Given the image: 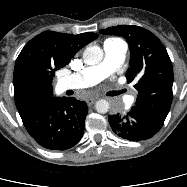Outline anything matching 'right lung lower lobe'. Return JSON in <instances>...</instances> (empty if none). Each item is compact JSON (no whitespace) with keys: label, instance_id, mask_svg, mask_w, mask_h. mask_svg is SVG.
I'll return each mask as SVG.
<instances>
[{"label":"right lung lower lobe","instance_id":"obj_1","mask_svg":"<svg viewBox=\"0 0 187 187\" xmlns=\"http://www.w3.org/2000/svg\"><path fill=\"white\" fill-rule=\"evenodd\" d=\"M87 104L75 98H52L21 116L28 133L50 150H66L83 136Z\"/></svg>","mask_w":187,"mask_h":187}]
</instances>
